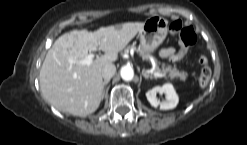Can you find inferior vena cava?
Returning a JSON list of instances; mask_svg holds the SVG:
<instances>
[{
	"label": "inferior vena cava",
	"mask_w": 247,
	"mask_h": 145,
	"mask_svg": "<svg viewBox=\"0 0 247 145\" xmlns=\"http://www.w3.org/2000/svg\"><path fill=\"white\" fill-rule=\"evenodd\" d=\"M116 73V67L112 63H108L102 68V77L104 80H110Z\"/></svg>",
	"instance_id": "obj_1"
}]
</instances>
